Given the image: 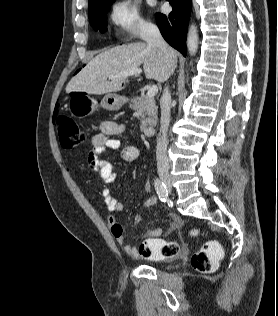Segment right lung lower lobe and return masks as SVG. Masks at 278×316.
Segmentation results:
<instances>
[{"label": "right lung lower lobe", "instance_id": "1", "mask_svg": "<svg viewBox=\"0 0 278 316\" xmlns=\"http://www.w3.org/2000/svg\"><path fill=\"white\" fill-rule=\"evenodd\" d=\"M173 11L169 15L156 14L157 25L164 39L186 56V32L192 0H167Z\"/></svg>", "mask_w": 278, "mask_h": 316}]
</instances>
